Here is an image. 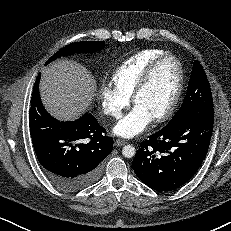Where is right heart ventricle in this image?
I'll return each mask as SVG.
<instances>
[{
    "mask_svg": "<svg viewBox=\"0 0 231 231\" xmlns=\"http://www.w3.org/2000/svg\"><path fill=\"white\" fill-rule=\"evenodd\" d=\"M165 53L160 49H148L134 54L115 70L112 77L114 85L125 95L131 97L150 62Z\"/></svg>",
    "mask_w": 231,
    "mask_h": 231,
    "instance_id": "1",
    "label": "right heart ventricle"
}]
</instances>
